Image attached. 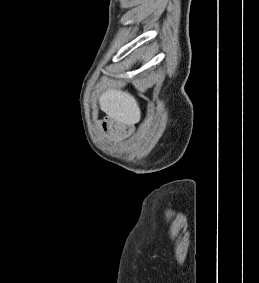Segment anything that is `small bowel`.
I'll list each match as a JSON object with an SVG mask.
<instances>
[{"label":"small bowel","mask_w":259,"mask_h":283,"mask_svg":"<svg viewBox=\"0 0 259 283\" xmlns=\"http://www.w3.org/2000/svg\"><path fill=\"white\" fill-rule=\"evenodd\" d=\"M98 130L114 141H122L133 133L131 125L118 121L112 117H104L98 121Z\"/></svg>","instance_id":"small-bowel-1"}]
</instances>
